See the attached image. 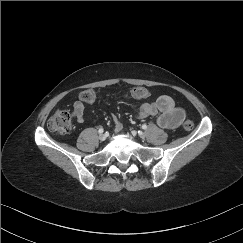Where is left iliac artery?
Listing matches in <instances>:
<instances>
[{
	"label": "left iliac artery",
	"instance_id": "left-iliac-artery-1",
	"mask_svg": "<svg viewBox=\"0 0 243 243\" xmlns=\"http://www.w3.org/2000/svg\"><path fill=\"white\" fill-rule=\"evenodd\" d=\"M142 129L146 130L147 129V125L146 124H143L142 125Z\"/></svg>",
	"mask_w": 243,
	"mask_h": 243
}]
</instances>
